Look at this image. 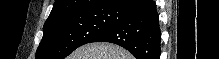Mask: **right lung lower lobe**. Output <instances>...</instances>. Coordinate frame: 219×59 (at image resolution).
<instances>
[{"label":"right lung lower lobe","instance_id":"obj_1","mask_svg":"<svg viewBox=\"0 0 219 59\" xmlns=\"http://www.w3.org/2000/svg\"><path fill=\"white\" fill-rule=\"evenodd\" d=\"M113 9L119 20L91 42L122 46L137 59H159L161 32L153 0H122Z\"/></svg>","mask_w":219,"mask_h":59}]
</instances>
